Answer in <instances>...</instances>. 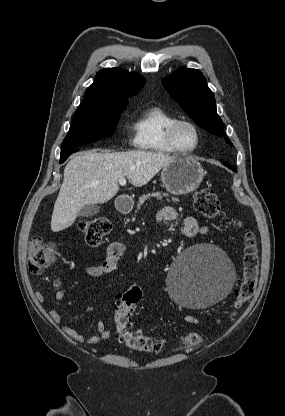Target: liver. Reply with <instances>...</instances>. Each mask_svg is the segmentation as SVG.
I'll use <instances>...</instances> for the list:
<instances>
[{
    "instance_id": "liver-1",
    "label": "liver",
    "mask_w": 285,
    "mask_h": 416,
    "mask_svg": "<svg viewBox=\"0 0 285 416\" xmlns=\"http://www.w3.org/2000/svg\"><path fill=\"white\" fill-rule=\"evenodd\" d=\"M178 156L165 152H115L97 154L88 150L65 166L64 180L54 204L52 232L72 226L84 206L105 204L116 196L121 178H128L135 188L146 186L161 168Z\"/></svg>"
}]
</instances>
